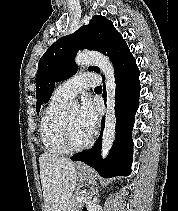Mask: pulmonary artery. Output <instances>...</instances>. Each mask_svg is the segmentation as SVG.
Here are the masks:
<instances>
[{"label":"pulmonary artery","instance_id":"1","mask_svg":"<svg viewBox=\"0 0 178 211\" xmlns=\"http://www.w3.org/2000/svg\"><path fill=\"white\" fill-rule=\"evenodd\" d=\"M99 82V76L96 73L78 75L60 84L55 91V95L69 101L84 89L98 85Z\"/></svg>","mask_w":178,"mask_h":211}]
</instances>
